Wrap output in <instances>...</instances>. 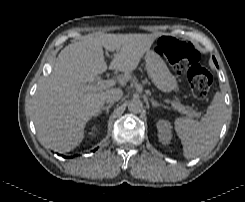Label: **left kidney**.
<instances>
[{
  "instance_id": "1",
  "label": "left kidney",
  "mask_w": 245,
  "mask_h": 202,
  "mask_svg": "<svg viewBox=\"0 0 245 202\" xmlns=\"http://www.w3.org/2000/svg\"><path fill=\"white\" fill-rule=\"evenodd\" d=\"M156 125L159 141L164 145L169 144L172 139L170 123L166 120H159Z\"/></svg>"
}]
</instances>
